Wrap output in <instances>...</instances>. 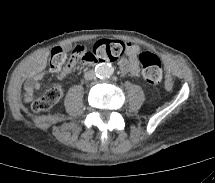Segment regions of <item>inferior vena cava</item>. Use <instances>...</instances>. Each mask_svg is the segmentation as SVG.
<instances>
[{
	"mask_svg": "<svg viewBox=\"0 0 215 183\" xmlns=\"http://www.w3.org/2000/svg\"><path fill=\"white\" fill-rule=\"evenodd\" d=\"M85 79L87 80H92L95 78V72L90 70V71H87L84 75Z\"/></svg>",
	"mask_w": 215,
	"mask_h": 183,
	"instance_id": "1",
	"label": "inferior vena cava"
}]
</instances>
